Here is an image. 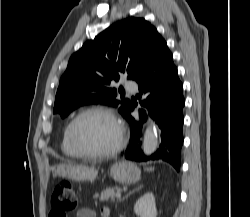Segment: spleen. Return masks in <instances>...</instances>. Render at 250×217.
Returning a JSON list of instances; mask_svg holds the SVG:
<instances>
[{"mask_svg":"<svg viewBox=\"0 0 250 217\" xmlns=\"http://www.w3.org/2000/svg\"><path fill=\"white\" fill-rule=\"evenodd\" d=\"M146 170H147V171H152V170H153V168H147Z\"/></svg>","mask_w":250,"mask_h":217,"instance_id":"obj_1","label":"spleen"}]
</instances>
